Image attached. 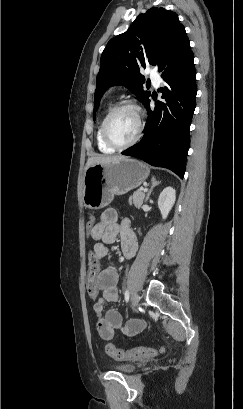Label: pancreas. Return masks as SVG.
Masks as SVG:
<instances>
[{
  "instance_id": "pancreas-1",
  "label": "pancreas",
  "mask_w": 243,
  "mask_h": 409,
  "mask_svg": "<svg viewBox=\"0 0 243 409\" xmlns=\"http://www.w3.org/2000/svg\"><path fill=\"white\" fill-rule=\"evenodd\" d=\"M144 198H145V193L141 190H137L136 192H134L130 197H129V204L132 205L134 204V206L136 208H140L141 205L144 202Z\"/></svg>"
}]
</instances>
